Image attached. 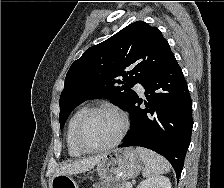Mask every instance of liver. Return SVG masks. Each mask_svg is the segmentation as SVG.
I'll use <instances>...</instances> for the list:
<instances>
[{
    "instance_id": "liver-1",
    "label": "liver",
    "mask_w": 224,
    "mask_h": 188,
    "mask_svg": "<svg viewBox=\"0 0 224 188\" xmlns=\"http://www.w3.org/2000/svg\"><path fill=\"white\" fill-rule=\"evenodd\" d=\"M105 156H106V153H103V154L95 155L92 157L78 159L70 163H65L60 166V168L54 173L53 177L58 175H72V174L86 172L92 169Z\"/></svg>"
}]
</instances>
